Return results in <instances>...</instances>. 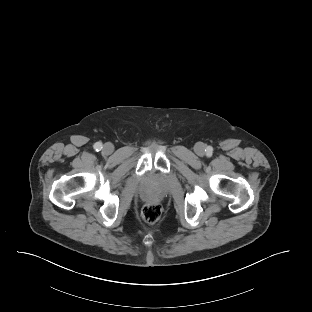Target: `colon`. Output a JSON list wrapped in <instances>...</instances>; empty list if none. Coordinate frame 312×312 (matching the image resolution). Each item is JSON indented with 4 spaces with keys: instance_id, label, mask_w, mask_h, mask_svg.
I'll return each mask as SVG.
<instances>
[{
    "instance_id": "obj_1",
    "label": "colon",
    "mask_w": 312,
    "mask_h": 312,
    "mask_svg": "<svg viewBox=\"0 0 312 312\" xmlns=\"http://www.w3.org/2000/svg\"><path fill=\"white\" fill-rule=\"evenodd\" d=\"M161 216V206L158 203H148L142 209V218L149 224L156 223Z\"/></svg>"
}]
</instances>
